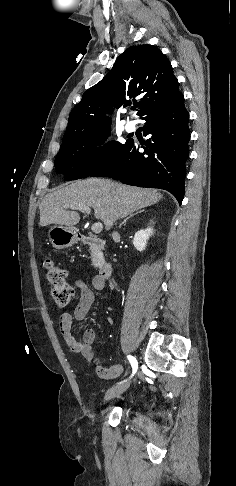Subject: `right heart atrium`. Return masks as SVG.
Instances as JSON below:
<instances>
[{"label":"right heart atrium","instance_id":"d8ad5b80","mask_svg":"<svg viewBox=\"0 0 236 486\" xmlns=\"http://www.w3.org/2000/svg\"><path fill=\"white\" fill-rule=\"evenodd\" d=\"M105 152V145L100 143L98 145L95 146L94 150H93V153L94 155L96 156H100L102 155L103 153Z\"/></svg>","mask_w":236,"mask_h":486}]
</instances>
